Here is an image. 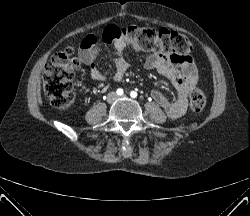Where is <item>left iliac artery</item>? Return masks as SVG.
Listing matches in <instances>:
<instances>
[{"mask_svg": "<svg viewBox=\"0 0 250 216\" xmlns=\"http://www.w3.org/2000/svg\"><path fill=\"white\" fill-rule=\"evenodd\" d=\"M130 96L132 98H136L137 97V93L135 91H131Z\"/></svg>", "mask_w": 250, "mask_h": 216, "instance_id": "left-iliac-artery-1", "label": "left iliac artery"}]
</instances>
